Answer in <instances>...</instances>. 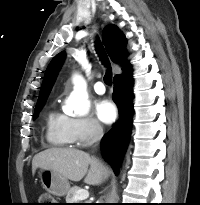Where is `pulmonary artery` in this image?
I'll return each mask as SVG.
<instances>
[{
	"instance_id": "obj_1",
	"label": "pulmonary artery",
	"mask_w": 200,
	"mask_h": 205,
	"mask_svg": "<svg viewBox=\"0 0 200 205\" xmlns=\"http://www.w3.org/2000/svg\"><path fill=\"white\" fill-rule=\"evenodd\" d=\"M94 91L99 95L104 94L106 91L104 84L101 81L96 82L94 84Z\"/></svg>"
}]
</instances>
